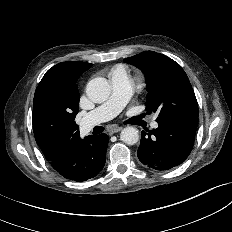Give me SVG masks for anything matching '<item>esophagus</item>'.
I'll return each instance as SVG.
<instances>
[{
	"label": "esophagus",
	"mask_w": 232,
	"mask_h": 232,
	"mask_svg": "<svg viewBox=\"0 0 232 232\" xmlns=\"http://www.w3.org/2000/svg\"><path fill=\"white\" fill-rule=\"evenodd\" d=\"M122 129H123V127H121V126L120 127L113 126L109 129V133L114 134V133L120 132Z\"/></svg>",
	"instance_id": "esophagus-1"
}]
</instances>
